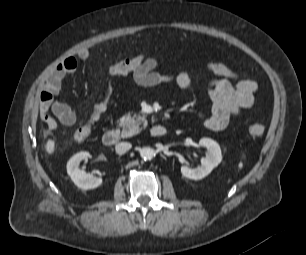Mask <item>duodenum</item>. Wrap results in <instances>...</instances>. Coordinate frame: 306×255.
Returning <instances> with one entry per match:
<instances>
[{
	"mask_svg": "<svg viewBox=\"0 0 306 255\" xmlns=\"http://www.w3.org/2000/svg\"><path fill=\"white\" fill-rule=\"evenodd\" d=\"M167 133V128L163 125H155L150 128V134L153 137H162ZM119 132L115 129L107 130L103 136L102 141L106 146H113L119 141Z\"/></svg>",
	"mask_w": 306,
	"mask_h": 255,
	"instance_id": "duodenum-1",
	"label": "duodenum"
}]
</instances>
